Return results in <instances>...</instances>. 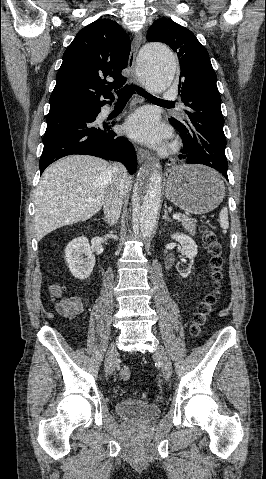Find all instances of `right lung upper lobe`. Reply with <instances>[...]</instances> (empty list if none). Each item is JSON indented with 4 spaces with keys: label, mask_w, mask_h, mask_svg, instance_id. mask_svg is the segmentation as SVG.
Listing matches in <instances>:
<instances>
[{
    "label": "right lung upper lobe",
    "mask_w": 266,
    "mask_h": 479,
    "mask_svg": "<svg viewBox=\"0 0 266 479\" xmlns=\"http://www.w3.org/2000/svg\"><path fill=\"white\" fill-rule=\"evenodd\" d=\"M130 44L126 32L110 19L82 28L63 54L50 110L99 106L106 103L100 97L114 99L110 89L126 82L121 71L127 66Z\"/></svg>",
    "instance_id": "obj_1"
}]
</instances>
